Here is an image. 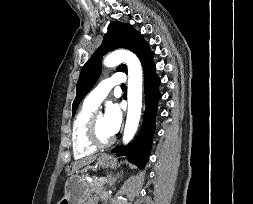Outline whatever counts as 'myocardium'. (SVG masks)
I'll list each match as a JSON object with an SVG mask.
<instances>
[{
	"label": "myocardium",
	"instance_id": "obj_1",
	"mask_svg": "<svg viewBox=\"0 0 253 204\" xmlns=\"http://www.w3.org/2000/svg\"><path fill=\"white\" fill-rule=\"evenodd\" d=\"M96 115L97 114H93L89 120L87 127V137L89 142L96 148H105L110 146L114 142L115 138L113 136L107 139H101L99 137L96 128Z\"/></svg>",
	"mask_w": 253,
	"mask_h": 204
}]
</instances>
